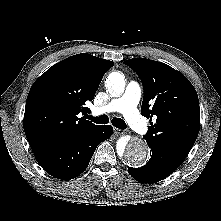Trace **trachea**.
<instances>
[{
  "label": "trachea",
  "instance_id": "1",
  "mask_svg": "<svg viewBox=\"0 0 221 221\" xmlns=\"http://www.w3.org/2000/svg\"><path fill=\"white\" fill-rule=\"evenodd\" d=\"M89 119L94 121L97 124H107L109 122V117L107 115H101L97 118L89 117ZM111 122H112V125L118 129L126 128V123L121 118H113Z\"/></svg>",
  "mask_w": 221,
  "mask_h": 221
}]
</instances>
